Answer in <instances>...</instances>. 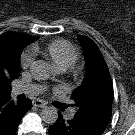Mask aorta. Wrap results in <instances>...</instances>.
Instances as JSON below:
<instances>
[{
  "mask_svg": "<svg viewBox=\"0 0 135 135\" xmlns=\"http://www.w3.org/2000/svg\"><path fill=\"white\" fill-rule=\"evenodd\" d=\"M30 71L34 79L36 80H47L53 74L51 66L43 61H34L30 66ZM41 118L47 124H54L58 119V111L54 107H45L41 111Z\"/></svg>",
  "mask_w": 135,
  "mask_h": 135,
  "instance_id": "aorta-1",
  "label": "aorta"
}]
</instances>
